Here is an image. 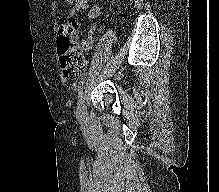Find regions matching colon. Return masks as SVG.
Segmentation results:
<instances>
[{
    "label": "colon",
    "mask_w": 219,
    "mask_h": 192,
    "mask_svg": "<svg viewBox=\"0 0 219 192\" xmlns=\"http://www.w3.org/2000/svg\"><path fill=\"white\" fill-rule=\"evenodd\" d=\"M79 44L78 22L66 20L58 29L57 52L62 73L67 79H77L84 71L85 62Z\"/></svg>",
    "instance_id": "1"
}]
</instances>
